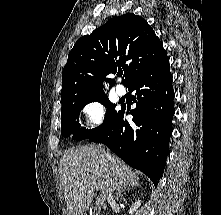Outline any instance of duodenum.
I'll use <instances>...</instances> for the list:
<instances>
[{
	"instance_id": "duodenum-1",
	"label": "duodenum",
	"mask_w": 221,
	"mask_h": 215,
	"mask_svg": "<svg viewBox=\"0 0 221 215\" xmlns=\"http://www.w3.org/2000/svg\"><path fill=\"white\" fill-rule=\"evenodd\" d=\"M80 215H89V214H87V213L84 212V213H81ZM96 215H98V214H96Z\"/></svg>"
}]
</instances>
